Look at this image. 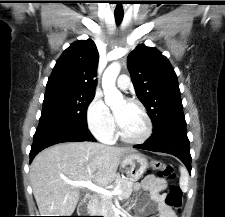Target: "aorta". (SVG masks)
I'll return each mask as SVG.
<instances>
[{
	"instance_id": "762f6f07",
	"label": "aorta",
	"mask_w": 225,
	"mask_h": 217,
	"mask_svg": "<svg viewBox=\"0 0 225 217\" xmlns=\"http://www.w3.org/2000/svg\"><path fill=\"white\" fill-rule=\"evenodd\" d=\"M120 70V63L113 62L106 68L102 76L105 103L110 107H114L123 101V95L115 85Z\"/></svg>"
}]
</instances>
